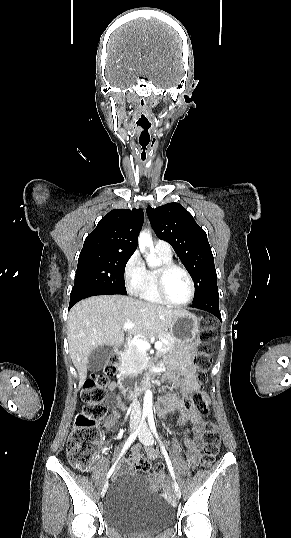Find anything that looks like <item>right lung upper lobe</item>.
<instances>
[{
    "label": "right lung upper lobe",
    "instance_id": "obj_1",
    "mask_svg": "<svg viewBox=\"0 0 291 538\" xmlns=\"http://www.w3.org/2000/svg\"><path fill=\"white\" fill-rule=\"evenodd\" d=\"M144 222L142 209H115L110 211L86 237L81 252L114 251L134 253Z\"/></svg>",
    "mask_w": 291,
    "mask_h": 538
}]
</instances>
